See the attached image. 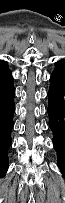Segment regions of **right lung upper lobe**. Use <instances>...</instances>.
<instances>
[{
	"instance_id": "1",
	"label": "right lung upper lobe",
	"mask_w": 65,
	"mask_h": 203,
	"mask_svg": "<svg viewBox=\"0 0 65 203\" xmlns=\"http://www.w3.org/2000/svg\"><path fill=\"white\" fill-rule=\"evenodd\" d=\"M1 64L3 65V64H5V62H4V61H2V60H0V65H1Z\"/></svg>"
}]
</instances>
